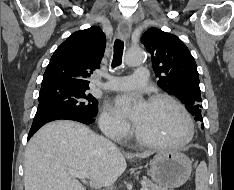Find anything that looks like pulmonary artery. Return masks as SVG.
Here are the masks:
<instances>
[{
	"instance_id": "e3ab8cb5",
	"label": "pulmonary artery",
	"mask_w": 234,
	"mask_h": 190,
	"mask_svg": "<svg viewBox=\"0 0 234 190\" xmlns=\"http://www.w3.org/2000/svg\"><path fill=\"white\" fill-rule=\"evenodd\" d=\"M148 83V68L138 66L132 76H111L102 87L116 91H127L140 88Z\"/></svg>"
}]
</instances>
